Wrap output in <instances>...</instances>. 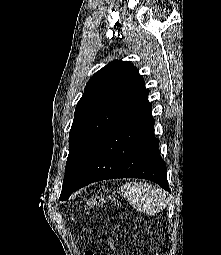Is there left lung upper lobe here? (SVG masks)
Listing matches in <instances>:
<instances>
[{"instance_id":"left-lung-upper-lobe-1","label":"left lung upper lobe","mask_w":221,"mask_h":255,"mask_svg":"<svg viewBox=\"0 0 221 255\" xmlns=\"http://www.w3.org/2000/svg\"><path fill=\"white\" fill-rule=\"evenodd\" d=\"M148 96L137 68L115 60L96 72L76 105L60 200H67L109 131Z\"/></svg>"}]
</instances>
